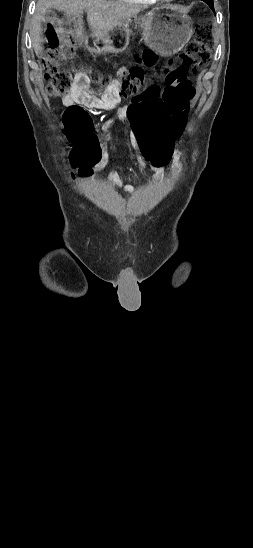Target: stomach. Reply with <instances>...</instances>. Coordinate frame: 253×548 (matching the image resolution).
Segmentation results:
<instances>
[{"instance_id":"1","label":"stomach","mask_w":253,"mask_h":548,"mask_svg":"<svg viewBox=\"0 0 253 548\" xmlns=\"http://www.w3.org/2000/svg\"><path fill=\"white\" fill-rule=\"evenodd\" d=\"M138 19H141L145 44L163 56L180 51L193 33L190 17L177 7H157ZM129 36L130 30L126 22L104 37L94 34L88 49L96 54H118L127 48Z\"/></svg>"}]
</instances>
